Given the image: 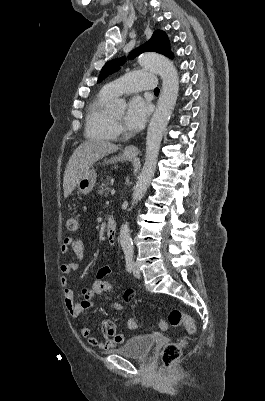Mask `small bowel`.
Listing matches in <instances>:
<instances>
[{
	"label": "small bowel",
	"mask_w": 265,
	"mask_h": 401,
	"mask_svg": "<svg viewBox=\"0 0 265 401\" xmlns=\"http://www.w3.org/2000/svg\"><path fill=\"white\" fill-rule=\"evenodd\" d=\"M61 252L66 254L69 250H72L78 260L83 259L85 255V247L80 239H74L67 237L63 240L61 244ZM78 264L76 262L64 263L60 266V272L62 274L61 284L64 287L63 297L65 306L74 318H81L83 313L93 307V300L98 296H111L113 293L112 285L107 281V278L111 274V268L108 266H103L99 268L95 274L94 282L90 288L82 289V299L77 302L74 299V293L72 289L68 287L69 279L68 275L76 271ZM135 291L133 289H128L123 295L124 301H129L133 298ZM113 309L116 312L123 310V305L121 303H114ZM101 331L104 336V340L100 341L95 336L91 334L89 326L86 324H81L79 327V333L84 337L88 344L97 347L103 351L110 350L118 344H122L126 341V336L122 333H118L116 325L111 320H104L101 325Z\"/></svg>",
	"instance_id": "obj_1"
}]
</instances>
